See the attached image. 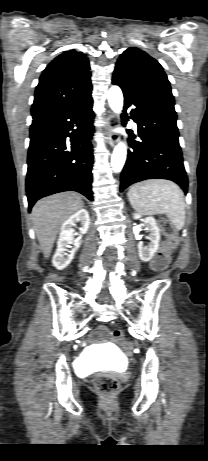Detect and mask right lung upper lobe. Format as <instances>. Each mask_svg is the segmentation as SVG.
<instances>
[{"mask_svg":"<svg viewBox=\"0 0 208 461\" xmlns=\"http://www.w3.org/2000/svg\"><path fill=\"white\" fill-rule=\"evenodd\" d=\"M89 61L74 49L63 52L44 69L31 109L33 121L79 105L91 98Z\"/></svg>","mask_w":208,"mask_h":461,"instance_id":"right-lung-upper-lobe-1","label":"right lung upper lobe"}]
</instances>
